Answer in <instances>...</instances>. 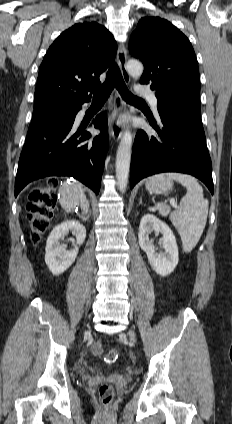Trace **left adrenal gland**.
I'll return each mask as SVG.
<instances>
[{"instance_id":"obj_1","label":"left adrenal gland","mask_w":232,"mask_h":424,"mask_svg":"<svg viewBox=\"0 0 232 424\" xmlns=\"http://www.w3.org/2000/svg\"><path fill=\"white\" fill-rule=\"evenodd\" d=\"M139 205H142V198H140V201H139L138 206H139Z\"/></svg>"}]
</instances>
